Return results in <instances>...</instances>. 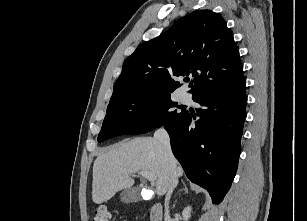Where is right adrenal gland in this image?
<instances>
[{
    "label": "right adrenal gland",
    "mask_w": 307,
    "mask_h": 221,
    "mask_svg": "<svg viewBox=\"0 0 307 221\" xmlns=\"http://www.w3.org/2000/svg\"><path fill=\"white\" fill-rule=\"evenodd\" d=\"M182 183H183V185H184V191H185L186 193H188V189H187L185 183H184L183 181H182Z\"/></svg>",
    "instance_id": "right-adrenal-gland-1"
}]
</instances>
